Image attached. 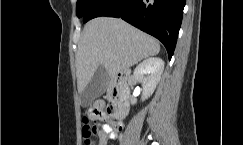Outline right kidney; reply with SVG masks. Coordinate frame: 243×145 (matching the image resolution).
<instances>
[{"label": "right kidney", "mask_w": 243, "mask_h": 145, "mask_svg": "<svg viewBox=\"0 0 243 145\" xmlns=\"http://www.w3.org/2000/svg\"><path fill=\"white\" fill-rule=\"evenodd\" d=\"M164 70V61L158 57H149L141 62L134 70V78L142 84V100L149 98L160 81ZM131 103L136 99L131 97Z\"/></svg>", "instance_id": "obj_1"}]
</instances>
